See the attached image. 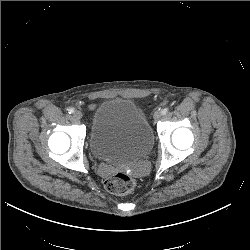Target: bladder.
Segmentation results:
<instances>
[{
	"label": "bladder",
	"mask_w": 250,
	"mask_h": 250,
	"mask_svg": "<svg viewBox=\"0 0 250 250\" xmlns=\"http://www.w3.org/2000/svg\"><path fill=\"white\" fill-rule=\"evenodd\" d=\"M88 143L98 160L132 164L150 152L153 133L146 115L134 101L113 98L101 102L94 110Z\"/></svg>",
	"instance_id": "31cf9c89"
}]
</instances>
